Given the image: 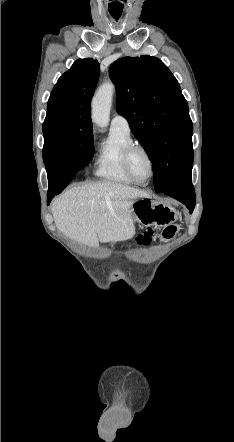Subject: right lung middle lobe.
Listing matches in <instances>:
<instances>
[{"label": "right lung middle lobe", "instance_id": "obj_1", "mask_svg": "<svg viewBox=\"0 0 234 442\" xmlns=\"http://www.w3.org/2000/svg\"><path fill=\"white\" fill-rule=\"evenodd\" d=\"M43 135L45 166L69 158L75 167L81 170L94 155L92 128L76 119H45Z\"/></svg>", "mask_w": 234, "mask_h": 442}]
</instances>
